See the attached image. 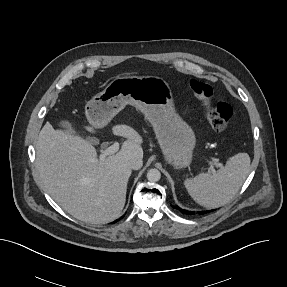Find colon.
Instances as JSON below:
<instances>
[{
    "instance_id": "5ec220e1",
    "label": "colon",
    "mask_w": 287,
    "mask_h": 287,
    "mask_svg": "<svg viewBox=\"0 0 287 287\" xmlns=\"http://www.w3.org/2000/svg\"><path fill=\"white\" fill-rule=\"evenodd\" d=\"M189 86L203 107L206 118L211 126L217 131L232 129L233 125L230 121L232 109L226 103H213V90L211 86L200 79H191Z\"/></svg>"
}]
</instances>
